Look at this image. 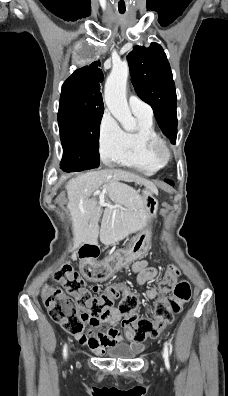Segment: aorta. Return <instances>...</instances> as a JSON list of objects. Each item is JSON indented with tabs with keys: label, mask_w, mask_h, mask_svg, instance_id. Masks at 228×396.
<instances>
[{
	"label": "aorta",
	"mask_w": 228,
	"mask_h": 396,
	"mask_svg": "<svg viewBox=\"0 0 228 396\" xmlns=\"http://www.w3.org/2000/svg\"><path fill=\"white\" fill-rule=\"evenodd\" d=\"M129 75L128 65L125 63L113 66L105 83L104 100L111 114L120 122L126 131H133L136 120L132 116L127 99L126 84Z\"/></svg>",
	"instance_id": "obj_1"
}]
</instances>
